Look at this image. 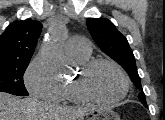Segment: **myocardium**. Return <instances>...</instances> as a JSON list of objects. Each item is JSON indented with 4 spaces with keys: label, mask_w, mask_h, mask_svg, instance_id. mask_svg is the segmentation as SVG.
<instances>
[{
    "label": "myocardium",
    "mask_w": 165,
    "mask_h": 120,
    "mask_svg": "<svg viewBox=\"0 0 165 120\" xmlns=\"http://www.w3.org/2000/svg\"><path fill=\"white\" fill-rule=\"evenodd\" d=\"M100 65H109L116 69L122 77L124 88L122 93L111 99H102L94 96L88 89V77L91 72ZM73 88L78 97L85 102H93L99 104L110 105L122 101L128 94L130 89V80L120 64L116 61L107 58H96L88 60L80 65L78 74L73 81Z\"/></svg>",
    "instance_id": "f54148a6"
}]
</instances>
